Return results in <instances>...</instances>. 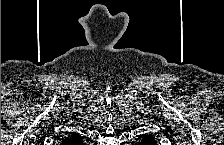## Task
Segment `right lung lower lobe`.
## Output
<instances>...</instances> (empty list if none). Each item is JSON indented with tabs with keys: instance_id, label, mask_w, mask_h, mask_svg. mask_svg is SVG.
Here are the masks:
<instances>
[{
	"instance_id": "right-lung-lower-lobe-1",
	"label": "right lung lower lobe",
	"mask_w": 224,
	"mask_h": 145,
	"mask_svg": "<svg viewBox=\"0 0 224 145\" xmlns=\"http://www.w3.org/2000/svg\"><path fill=\"white\" fill-rule=\"evenodd\" d=\"M74 145H81L82 141L80 139H78L75 143H73Z\"/></svg>"
}]
</instances>
